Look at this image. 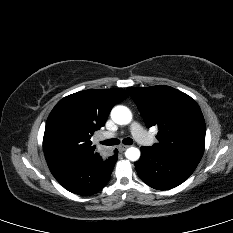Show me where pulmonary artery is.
I'll return each mask as SVG.
<instances>
[{
	"instance_id": "obj_1",
	"label": "pulmonary artery",
	"mask_w": 233,
	"mask_h": 233,
	"mask_svg": "<svg viewBox=\"0 0 233 233\" xmlns=\"http://www.w3.org/2000/svg\"><path fill=\"white\" fill-rule=\"evenodd\" d=\"M130 130H131L132 135L135 137V139L139 141L140 143H143V144L151 143L152 141L151 138L145 133V131L142 129V127L137 122H134L131 124ZM115 135L116 134L113 132H105L103 133L101 137L108 139V138L115 137Z\"/></svg>"
}]
</instances>
